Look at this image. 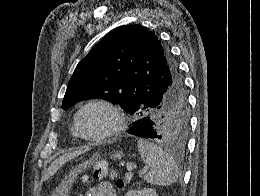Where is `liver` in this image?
<instances>
[{
  "instance_id": "obj_1",
  "label": "liver",
  "mask_w": 260,
  "mask_h": 196,
  "mask_svg": "<svg viewBox=\"0 0 260 196\" xmlns=\"http://www.w3.org/2000/svg\"><path fill=\"white\" fill-rule=\"evenodd\" d=\"M89 150H92V148H89V146H82V148H78L76 152H69V154H64V156H60V158L54 160V162H52L51 166H49L45 174V180H48L50 176L56 174L59 168H62V166H64L66 162H69V160H74V158H77V156H81V154H86V152H89Z\"/></svg>"
}]
</instances>
